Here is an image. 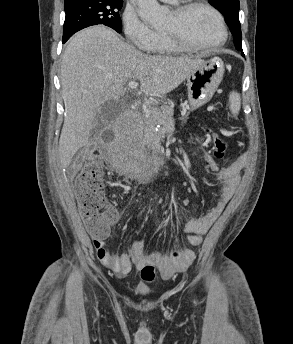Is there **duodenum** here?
<instances>
[{
	"instance_id": "obj_1",
	"label": "duodenum",
	"mask_w": 293,
	"mask_h": 344,
	"mask_svg": "<svg viewBox=\"0 0 293 344\" xmlns=\"http://www.w3.org/2000/svg\"><path fill=\"white\" fill-rule=\"evenodd\" d=\"M131 121V117L129 115H124L118 122V124H122L124 122H130ZM164 159V156H161V161Z\"/></svg>"
}]
</instances>
